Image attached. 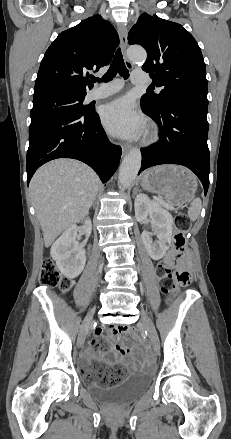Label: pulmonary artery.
<instances>
[{"instance_id":"pulmonary-artery-1","label":"pulmonary artery","mask_w":231,"mask_h":439,"mask_svg":"<svg viewBox=\"0 0 231 439\" xmlns=\"http://www.w3.org/2000/svg\"><path fill=\"white\" fill-rule=\"evenodd\" d=\"M131 81L133 84H136V85H148L151 82L148 74L142 70H139V69H136L133 71V73L131 75ZM122 87H123L122 80H119V79L113 80L112 82H110L108 84L101 85L97 88L90 90L87 93V99L89 101H92V100H97V99L107 97V96L119 91Z\"/></svg>"}]
</instances>
